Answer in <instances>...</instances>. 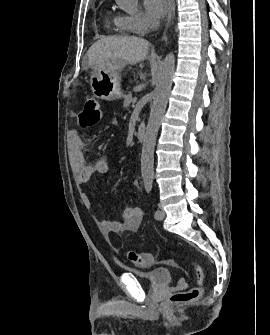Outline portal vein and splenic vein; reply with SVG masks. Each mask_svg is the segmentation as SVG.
I'll list each match as a JSON object with an SVG mask.
<instances>
[{
	"label": "portal vein and splenic vein",
	"instance_id": "18ae733b",
	"mask_svg": "<svg viewBox=\"0 0 270 335\" xmlns=\"http://www.w3.org/2000/svg\"><path fill=\"white\" fill-rule=\"evenodd\" d=\"M134 99H135L136 101H139V100L141 99V96H140L139 94H136V95L134 96Z\"/></svg>",
	"mask_w": 270,
	"mask_h": 335
}]
</instances>
